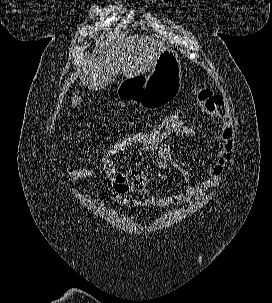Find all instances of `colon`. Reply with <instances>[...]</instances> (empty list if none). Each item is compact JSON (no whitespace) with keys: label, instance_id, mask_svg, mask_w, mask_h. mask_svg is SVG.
Segmentation results:
<instances>
[{"label":"colon","instance_id":"5ec220e1","mask_svg":"<svg viewBox=\"0 0 272 303\" xmlns=\"http://www.w3.org/2000/svg\"><path fill=\"white\" fill-rule=\"evenodd\" d=\"M189 126L183 109L174 108L164 114L156 123L147 128L124 133L117 137L107 147L101 157L94 161L73 167L64 168L68 178L73 181H84L96 176L99 172L103 175L114 172L117 168L114 158L129 150L151 148L165 144L169 138L177 136L180 131ZM150 176H146L143 185L136 191L126 195H115L114 199L123 205H137L146 200L148 192L146 186L150 182Z\"/></svg>","mask_w":272,"mask_h":303}]
</instances>
